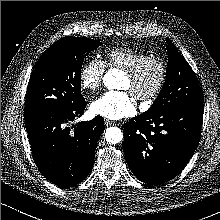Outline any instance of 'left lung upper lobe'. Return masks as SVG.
<instances>
[{"label":"left lung upper lobe","instance_id":"left-lung-upper-lobe-1","mask_svg":"<svg viewBox=\"0 0 220 220\" xmlns=\"http://www.w3.org/2000/svg\"><path fill=\"white\" fill-rule=\"evenodd\" d=\"M168 64L166 80L147 113H158L173 107L203 104L202 89L196 74L167 39Z\"/></svg>","mask_w":220,"mask_h":220}]
</instances>
